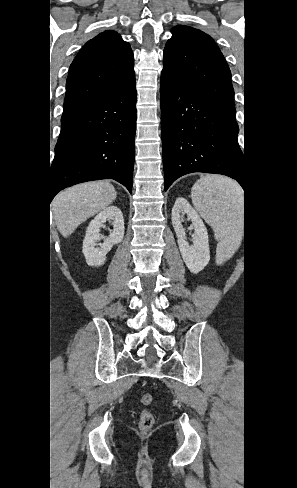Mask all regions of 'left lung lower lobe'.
<instances>
[{
    "label": "left lung lower lobe",
    "mask_w": 297,
    "mask_h": 488,
    "mask_svg": "<svg viewBox=\"0 0 297 488\" xmlns=\"http://www.w3.org/2000/svg\"><path fill=\"white\" fill-rule=\"evenodd\" d=\"M160 93L165 191L185 174L204 172L229 176L246 192L235 114L183 88L164 72Z\"/></svg>",
    "instance_id": "1"
}]
</instances>
